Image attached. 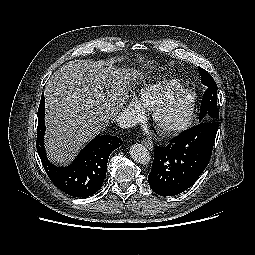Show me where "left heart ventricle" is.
<instances>
[{
    "label": "left heart ventricle",
    "mask_w": 255,
    "mask_h": 255,
    "mask_svg": "<svg viewBox=\"0 0 255 255\" xmlns=\"http://www.w3.org/2000/svg\"><path fill=\"white\" fill-rule=\"evenodd\" d=\"M188 105L186 102H178L172 106L162 117V124L169 125L181 120L186 112Z\"/></svg>",
    "instance_id": "b2bd125f"
}]
</instances>
